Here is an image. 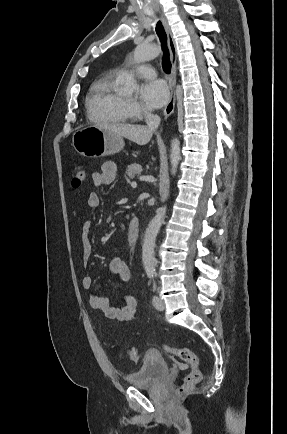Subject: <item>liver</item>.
Wrapping results in <instances>:
<instances>
[{
    "label": "liver",
    "mask_w": 287,
    "mask_h": 434,
    "mask_svg": "<svg viewBox=\"0 0 287 434\" xmlns=\"http://www.w3.org/2000/svg\"><path fill=\"white\" fill-rule=\"evenodd\" d=\"M97 127L109 130L137 143L138 145H146L150 141L154 131L152 128L144 125L121 123L101 124L97 125Z\"/></svg>",
    "instance_id": "obj_1"
}]
</instances>
